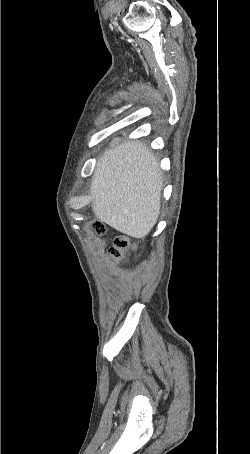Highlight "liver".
<instances>
[{"mask_svg":"<svg viewBox=\"0 0 250 454\" xmlns=\"http://www.w3.org/2000/svg\"><path fill=\"white\" fill-rule=\"evenodd\" d=\"M162 172L154 154L140 141L107 149L95 168L92 211L115 230L144 239L160 214Z\"/></svg>","mask_w":250,"mask_h":454,"instance_id":"1","label":"liver"}]
</instances>
